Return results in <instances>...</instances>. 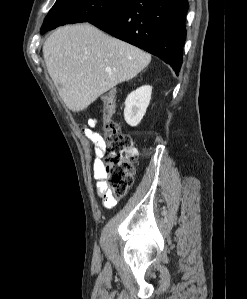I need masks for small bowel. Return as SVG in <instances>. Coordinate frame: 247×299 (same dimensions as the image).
Instances as JSON below:
<instances>
[{
    "mask_svg": "<svg viewBox=\"0 0 247 299\" xmlns=\"http://www.w3.org/2000/svg\"><path fill=\"white\" fill-rule=\"evenodd\" d=\"M96 124V119H89L87 125L83 129V133L88 141L94 145L95 158L93 161V173L94 177L97 179V197L103 200V205L106 209H111L116 204V199L108 190L103 178V163L101 157L104 155V141L103 137L93 130Z\"/></svg>",
    "mask_w": 247,
    "mask_h": 299,
    "instance_id": "small-bowel-1",
    "label": "small bowel"
}]
</instances>
